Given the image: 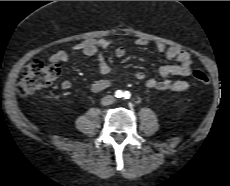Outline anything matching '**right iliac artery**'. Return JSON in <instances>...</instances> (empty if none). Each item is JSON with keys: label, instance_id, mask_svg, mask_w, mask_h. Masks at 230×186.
I'll use <instances>...</instances> for the list:
<instances>
[{"label": "right iliac artery", "instance_id": "82829eb1", "mask_svg": "<svg viewBox=\"0 0 230 186\" xmlns=\"http://www.w3.org/2000/svg\"><path fill=\"white\" fill-rule=\"evenodd\" d=\"M115 96H116L117 98H121V97L123 96L122 91H121V90H117V91L115 92Z\"/></svg>", "mask_w": 230, "mask_h": 186}]
</instances>
